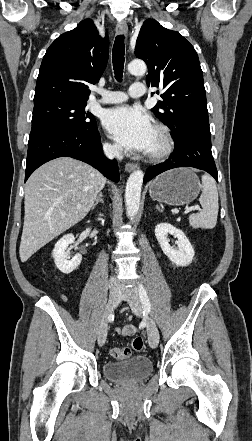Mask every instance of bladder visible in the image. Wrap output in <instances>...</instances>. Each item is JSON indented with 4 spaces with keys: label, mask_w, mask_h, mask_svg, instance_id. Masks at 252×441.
Segmentation results:
<instances>
[{
    "label": "bladder",
    "mask_w": 252,
    "mask_h": 441,
    "mask_svg": "<svg viewBox=\"0 0 252 441\" xmlns=\"http://www.w3.org/2000/svg\"><path fill=\"white\" fill-rule=\"evenodd\" d=\"M152 370V361L146 356H132L120 362H106L103 365L104 376L120 384L141 382Z\"/></svg>",
    "instance_id": "obj_1"
}]
</instances>
